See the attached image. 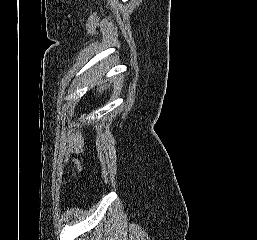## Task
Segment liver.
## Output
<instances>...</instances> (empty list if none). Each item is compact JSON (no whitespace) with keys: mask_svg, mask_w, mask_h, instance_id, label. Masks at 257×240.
Returning a JSON list of instances; mask_svg holds the SVG:
<instances>
[{"mask_svg":"<svg viewBox=\"0 0 257 240\" xmlns=\"http://www.w3.org/2000/svg\"><path fill=\"white\" fill-rule=\"evenodd\" d=\"M107 88L106 85H100V88L98 89L99 93H102V91H104Z\"/></svg>","mask_w":257,"mask_h":240,"instance_id":"obj_1","label":"liver"}]
</instances>
